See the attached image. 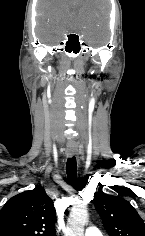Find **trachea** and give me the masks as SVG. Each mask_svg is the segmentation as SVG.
Returning a JSON list of instances; mask_svg holds the SVG:
<instances>
[{"label": "trachea", "instance_id": "obj_1", "mask_svg": "<svg viewBox=\"0 0 145 236\" xmlns=\"http://www.w3.org/2000/svg\"><path fill=\"white\" fill-rule=\"evenodd\" d=\"M66 173L70 182H75L77 177V163L76 158L73 156L72 158H68L66 165Z\"/></svg>", "mask_w": 145, "mask_h": 236}]
</instances>
